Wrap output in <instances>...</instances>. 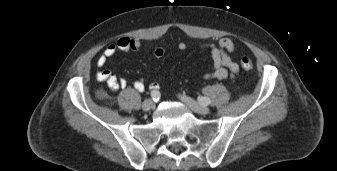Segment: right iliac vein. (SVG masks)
I'll return each instance as SVG.
<instances>
[{"instance_id": "right-iliac-vein-1", "label": "right iliac vein", "mask_w": 337, "mask_h": 171, "mask_svg": "<svg viewBox=\"0 0 337 171\" xmlns=\"http://www.w3.org/2000/svg\"><path fill=\"white\" fill-rule=\"evenodd\" d=\"M154 107H155V103H154V101L151 100V99L145 100V101L143 102V104H142V109H143L144 111L152 110V109H154Z\"/></svg>"}]
</instances>
